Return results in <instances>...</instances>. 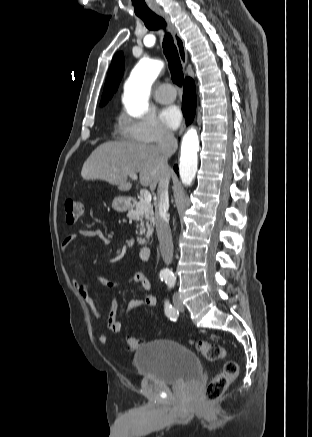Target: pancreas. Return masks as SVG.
I'll use <instances>...</instances> for the list:
<instances>
[{
	"label": "pancreas",
	"instance_id": "obj_1",
	"mask_svg": "<svg viewBox=\"0 0 312 437\" xmlns=\"http://www.w3.org/2000/svg\"><path fill=\"white\" fill-rule=\"evenodd\" d=\"M127 217L136 222L140 221V237L137 238V241L139 244H144L146 239H149L153 233V206L150 203L140 199V201L135 204V208L129 210ZM143 234H146V239L142 238Z\"/></svg>",
	"mask_w": 312,
	"mask_h": 437
}]
</instances>
